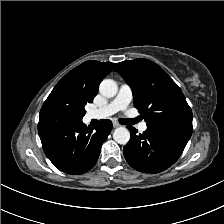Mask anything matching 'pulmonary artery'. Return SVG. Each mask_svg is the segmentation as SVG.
<instances>
[{"instance_id":"obj_1","label":"pulmonary artery","mask_w":224,"mask_h":224,"mask_svg":"<svg viewBox=\"0 0 224 224\" xmlns=\"http://www.w3.org/2000/svg\"><path fill=\"white\" fill-rule=\"evenodd\" d=\"M132 98L133 94L130 86L127 84H122L118 90L116 97L107 105L90 111L89 117L93 119H104L115 114L118 111H123L127 109L130 102L132 101ZM139 130L142 132L146 131L147 124L145 122H142L139 125Z\"/></svg>"}]
</instances>
